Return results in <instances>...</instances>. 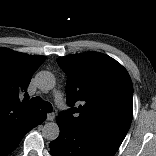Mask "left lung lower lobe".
<instances>
[{
    "instance_id": "left-lung-lower-lobe-1",
    "label": "left lung lower lobe",
    "mask_w": 156,
    "mask_h": 156,
    "mask_svg": "<svg viewBox=\"0 0 156 156\" xmlns=\"http://www.w3.org/2000/svg\"><path fill=\"white\" fill-rule=\"evenodd\" d=\"M59 137L50 143L53 156H113L120 144L102 135L76 129L66 118L57 117Z\"/></svg>"
}]
</instances>
